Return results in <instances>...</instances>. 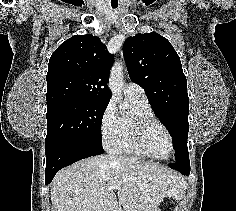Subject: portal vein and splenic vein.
<instances>
[{
    "label": "portal vein and splenic vein",
    "instance_id": "obj_1",
    "mask_svg": "<svg viewBox=\"0 0 236 211\" xmlns=\"http://www.w3.org/2000/svg\"><path fill=\"white\" fill-rule=\"evenodd\" d=\"M121 189V184H116L114 186H110L107 190L113 191V190H120Z\"/></svg>",
    "mask_w": 236,
    "mask_h": 211
}]
</instances>
